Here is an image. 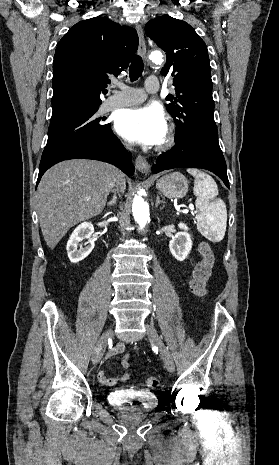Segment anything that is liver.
Returning <instances> with one entry per match:
<instances>
[{
	"label": "liver",
	"mask_w": 279,
	"mask_h": 465,
	"mask_svg": "<svg viewBox=\"0 0 279 465\" xmlns=\"http://www.w3.org/2000/svg\"><path fill=\"white\" fill-rule=\"evenodd\" d=\"M113 167L107 163L73 159L51 167L42 177L36 207L43 237L54 249L74 225L99 215L105 208ZM126 189L125 176H116ZM91 198L87 201L86 198Z\"/></svg>",
	"instance_id": "1"
}]
</instances>
